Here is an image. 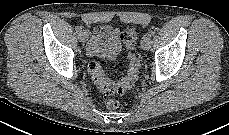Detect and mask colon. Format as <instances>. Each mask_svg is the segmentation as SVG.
Returning a JSON list of instances; mask_svg holds the SVG:
<instances>
[{"label":"colon","mask_w":229,"mask_h":135,"mask_svg":"<svg viewBox=\"0 0 229 135\" xmlns=\"http://www.w3.org/2000/svg\"><path fill=\"white\" fill-rule=\"evenodd\" d=\"M122 43L127 51L128 69L125 77L120 81H111L104 73L101 65L96 61L88 64V72L98 89L105 95L122 94L131 87L138 78L141 57L136 52L137 32L134 28H128L121 34ZM105 105L108 109H116L119 102L109 98Z\"/></svg>","instance_id":"1"}]
</instances>
